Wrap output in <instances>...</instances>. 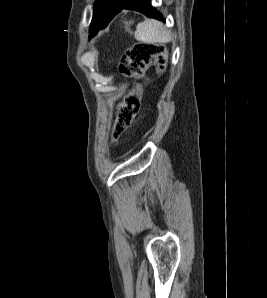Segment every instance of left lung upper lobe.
<instances>
[{
    "label": "left lung upper lobe",
    "instance_id": "left-lung-upper-lobe-1",
    "mask_svg": "<svg viewBox=\"0 0 267 298\" xmlns=\"http://www.w3.org/2000/svg\"><path fill=\"white\" fill-rule=\"evenodd\" d=\"M117 1L120 0H96L93 15L98 14L101 10L105 9L106 7L112 4H115Z\"/></svg>",
    "mask_w": 267,
    "mask_h": 298
}]
</instances>
